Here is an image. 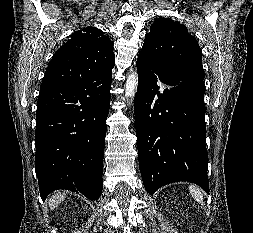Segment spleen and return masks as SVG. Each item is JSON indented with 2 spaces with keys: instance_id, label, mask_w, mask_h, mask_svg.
Returning a JSON list of instances; mask_svg holds the SVG:
<instances>
[{
  "instance_id": "obj_1",
  "label": "spleen",
  "mask_w": 253,
  "mask_h": 233,
  "mask_svg": "<svg viewBox=\"0 0 253 233\" xmlns=\"http://www.w3.org/2000/svg\"><path fill=\"white\" fill-rule=\"evenodd\" d=\"M189 192L190 194L193 196V198L203 206L204 202H203V194L201 192V190L194 186V185H190L189 186Z\"/></svg>"
}]
</instances>
